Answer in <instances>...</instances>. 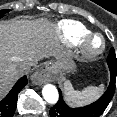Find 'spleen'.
<instances>
[{
	"label": "spleen",
	"mask_w": 117,
	"mask_h": 117,
	"mask_svg": "<svg viewBox=\"0 0 117 117\" xmlns=\"http://www.w3.org/2000/svg\"><path fill=\"white\" fill-rule=\"evenodd\" d=\"M104 85L100 86H87L83 90H75L70 81H65L64 92L65 99L72 107H79L93 102L102 94Z\"/></svg>",
	"instance_id": "1"
}]
</instances>
